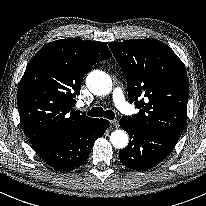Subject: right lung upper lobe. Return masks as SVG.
<instances>
[{
	"label": "right lung upper lobe",
	"instance_id": "1",
	"mask_svg": "<svg viewBox=\"0 0 206 206\" xmlns=\"http://www.w3.org/2000/svg\"><path fill=\"white\" fill-rule=\"evenodd\" d=\"M111 53L105 43L61 39L42 47L21 79L17 105L33 146L69 137L94 119L75 111L85 72Z\"/></svg>",
	"mask_w": 206,
	"mask_h": 206
}]
</instances>
